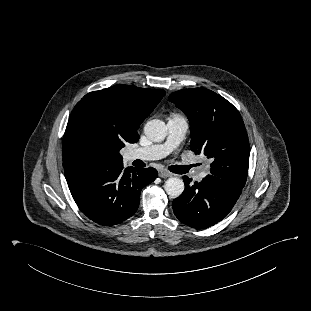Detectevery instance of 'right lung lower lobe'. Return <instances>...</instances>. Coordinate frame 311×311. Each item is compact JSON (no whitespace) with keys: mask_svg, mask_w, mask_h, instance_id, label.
<instances>
[{"mask_svg":"<svg viewBox=\"0 0 311 311\" xmlns=\"http://www.w3.org/2000/svg\"><path fill=\"white\" fill-rule=\"evenodd\" d=\"M158 176L154 168H125L123 163L65 169L74 201L92 221L117 225L135 214L142 188Z\"/></svg>","mask_w":311,"mask_h":311,"instance_id":"obj_1","label":"right lung lower lobe"}]
</instances>
